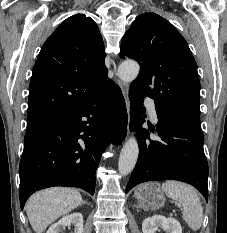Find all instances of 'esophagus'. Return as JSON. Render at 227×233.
<instances>
[{
	"instance_id": "esophagus-1",
	"label": "esophagus",
	"mask_w": 227,
	"mask_h": 233,
	"mask_svg": "<svg viewBox=\"0 0 227 233\" xmlns=\"http://www.w3.org/2000/svg\"><path fill=\"white\" fill-rule=\"evenodd\" d=\"M118 84L122 90V93L124 95V99L126 102V108H127V113L129 115V110H130V101H129V97H128V90L129 87L126 83L122 82V81H118ZM130 134V126H129V116H128V124H127V136Z\"/></svg>"
}]
</instances>
